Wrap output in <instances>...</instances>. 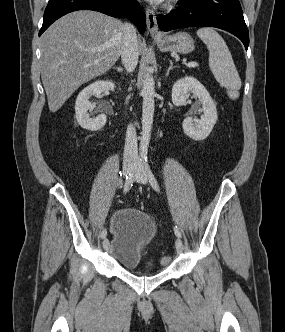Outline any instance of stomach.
<instances>
[{
    "label": "stomach",
    "mask_w": 285,
    "mask_h": 332,
    "mask_svg": "<svg viewBox=\"0 0 285 332\" xmlns=\"http://www.w3.org/2000/svg\"><path fill=\"white\" fill-rule=\"evenodd\" d=\"M155 41L158 48L163 52L188 54L194 50V40L186 32H177L173 35H165Z\"/></svg>",
    "instance_id": "0dacf381"
}]
</instances>
